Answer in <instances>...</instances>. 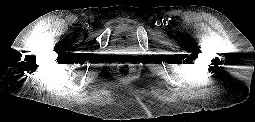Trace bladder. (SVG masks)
<instances>
[{
  "label": "bladder",
  "instance_id": "31cf9c89",
  "mask_svg": "<svg viewBox=\"0 0 255 122\" xmlns=\"http://www.w3.org/2000/svg\"><path fill=\"white\" fill-rule=\"evenodd\" d=\"M111 40L118 49H134L136 46L134 27L130 24L118 27L114 31Z\"/></svg>",
  "mask_w": 255,
  "mask_h": 122
}]
</instances>
